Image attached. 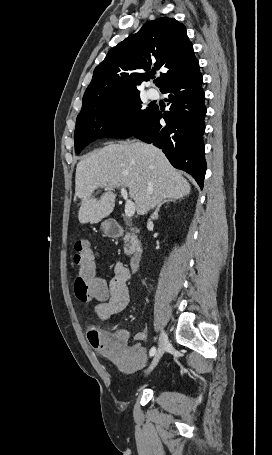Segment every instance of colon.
<instances>
[{"instance_id":"1","label":"colon","mask_w":272,"mask_h":455,"mask_svg":"<svg viewBox=\"0 0 272 455\" xmlns=\"http://www.w3.org/2000/svg\"><path fill=\"white\" fill-rule=\"evenodd\" d=\"M74 262L80 266V275L75 280V295L82 301H103L108 296L105 280L96 275V254L85 240L75 243ZM90 344L98 349L109 363L120 370L129 364L130 352L114 336L90 328L87 333Z\"/></svg>"}]
</instances>
